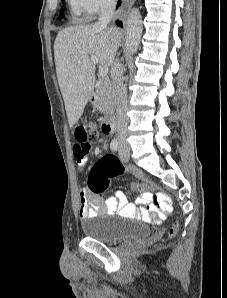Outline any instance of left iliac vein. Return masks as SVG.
I'll return each mask as SVG.
<instances>
[{"label": "left iliac vein", "mask_w": 227, "mask_h": 298, "mask_svg": "<svg viewBox=\"0 0 227 298\" xmlns=\"http://www.w3.org/2000/svg\"><path fill=\"white\" fill-rule=\"evenodd\" d=\"M119 157L123 162H127L130 157V148L126 144H122L119 149Z\"/></svg>", "instance_id": "4c4485c4"}]
</instances>
